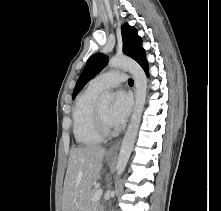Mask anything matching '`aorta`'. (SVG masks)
Wrapping results in <instances>:
<instances>
[{
  "label": "aorta",
  "instance_id": "aorta-1",
  "mask_svg": "<svg viewBox=\"0 0 221 211\" xmlns=\"http://www.w3.org/2000/svg\"><path fill=\"white\" fill-rule=\"evenodd\" d=\"M108 66L110 68H120L129 71L133 75L135 83V108L120 147L116 166L117 175L120 176L125 170L138 133L146 100L147 78L142 67L128 57H112L109 59ZM113 100V94L105 91L101 94L99 103L101 105H109Z\"/></svg>",
  "mask_w": 221,
  "mask_h": 211
}]
</instances>
